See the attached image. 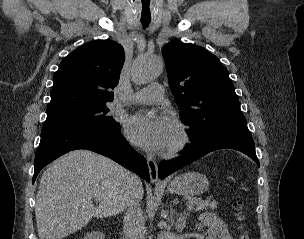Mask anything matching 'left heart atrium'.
Instances as JSON below:
<instances>
[{
  "label": "left heart atrium",
  "instance_id": "obj_1",
  "mask_svg": "<svg viewBox=\"0 0 304 239\" xmlns=\"http://www.w3.org/2000/svg\"><path fill=\"white\" fill-rule=\"evenodd\" d=\"M174 129L175 123L169 116L151 112L135 114L126 125L129 139L149 151L166 148Z\"/></svg>",
  "mask_w": 304,
  "mask_h": 239
}]
</instances>
